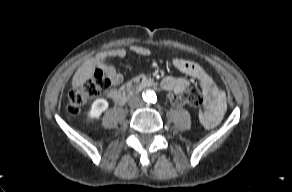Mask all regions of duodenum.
I'll use <instances>...</instances> for the list:
<instances>
[{
    "label": "duodenum",
    "mask_w": 292,
    "mask_h": 192,
    "mask_svg": "<svg viewBox=\"0 0 292 192\" xmlns=\"http://www.w3.org/2000/svg\"><path fill=\"white\" fill-rule=\"evenodd\" d=\"M156 84L148 80L144 77H137L134 80L128 82L122 90V95L120 98V102L124 103L126 102L130 97L134 96L135 94L139 93L145 88L153 87Z\"/></svg>",
    "instance_id": "410a0bca"
}]
</instances>
